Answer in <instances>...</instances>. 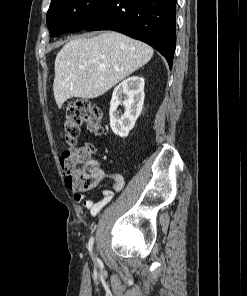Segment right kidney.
Instances as JSON below:
<instances>
[{
	"label": "right kidney",
	"instance_id": "ca27d5eb",
	"mask_svg": "<svg viewBox=\"0 0 247 296\" xmlns=\"http://www.w3.org/2000/svg\"><path fill=\"white\" fill-rule=\"evenodd\" d=\"M144 84L143 77L132 76L114 88L109 110L110 127L114 134L126 137L134 127L144 103ZM119 105L124 106V113L121 115Z\"/></svg>",
	"mask_w": 247,
	"mask_h": 296
}]
</instances>
